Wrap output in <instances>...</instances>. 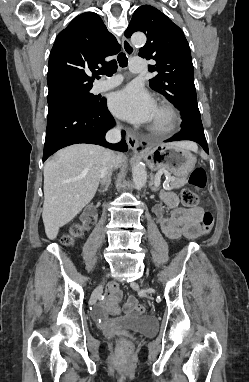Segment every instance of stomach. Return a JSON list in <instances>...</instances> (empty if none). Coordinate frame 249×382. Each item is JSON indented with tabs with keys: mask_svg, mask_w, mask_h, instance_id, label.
Segmentation results:
<instances>
[{
	"mask_svg": "<svg viewBox=\"0 0 249 382\" xmlns=\"http://www.w3.org/2000/svg\"><path fill=\"white\" fill-rule=\"evenodd\" d=\"M150 169L169 171L178 177L187 176L195 167L196 157L178 143L160 144L144 153Z\"/></svg>",
	"mask_w": 249,
	"mask_h": 382,
	"instance_id": "stomach-1",
	"label": "stomach"
}]
</instances>
